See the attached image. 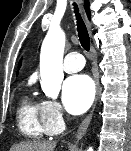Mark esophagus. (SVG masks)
Segmentation results:
<instances>
[{
    "instance_id": "obj_1",
    "label": "esophagus",
    "mask_w": 131,
    "mask_h": 151,
    "mask_svg": "<svg viewBox=\"0 0 131 151\" xmlns=\"http://www.w3.org/2000/svg\"><path fill=\"white\" fill-rule=\"evenodd\" d=\"M93 77H94V81H95V85H96V98H95V103H96V101L98 99V94H99V72H98V68H97L96 63L93 66ZM94 107H95V104H94L91 112L88 114V116L80 124V126L76 132V136H75L76 141H79L85 135V133L88 129V126L90 124V121L92 119Z\"/></svg>"
}]
</instances>
